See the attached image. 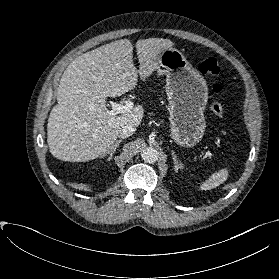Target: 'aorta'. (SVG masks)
Returning <instances> with one entry per match:
<instances>
[{"instance_id":"obj_1","label":"aorta","mask_w":279,"mask_h":279,"mask_svg":"<svg viewBox=\"0 0 279 279\" xmlns=\"http://www.w3.org/2000/svg\"><path fill=\"white\" fill-rule=\"evenodd\" d=\"M141 157L147 163H155L159 158V153L153 147H146L142 150Z\"/></svg>"}]
</instances>
